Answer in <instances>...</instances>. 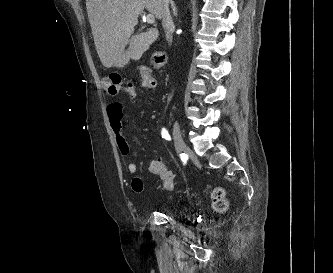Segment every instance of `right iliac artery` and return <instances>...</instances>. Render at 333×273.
Returning a JSON list of instances; mask_svg holds the SVG:
<instances>
[{
  "label": "right iliac artery",
  "instance_id": "82829eb1",
  "mask_svg": "<svg viewBox=\"0 0 333 273\" xmlns=\"http://www.w3.org/2000/svg\"><path fill=\"white\" fill-rule=\"evenodd\" d=\"M161 135H162V138H164L166 140H171V137L165 128L162 129Z\"/></svg>",
  "mask_w": 333,
  "mask_h": 273
}]
</instances>
